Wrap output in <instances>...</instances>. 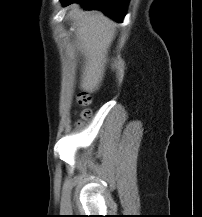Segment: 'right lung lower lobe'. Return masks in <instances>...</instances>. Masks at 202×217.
I'll list each match as a JSON object with an SVG mask.
<instances>
[{"instance_id":"obj_1","label":"right lung lower lobe","mask_w":202,"mask_h":217,"mask_svg":"<svg viewBox=\"0 0 202 217\" xmlns=\"http://www.w3.org/2000/svg\"><path fill=\"white\" fill-rule=\"evenodd\" d=\"M63 6L79 3L85 9L101 10L117 22H122L129 0H62Z\"/></svg>"}]
</instances>
